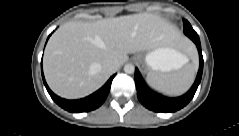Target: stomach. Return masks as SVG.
I'll list each match as a JSON object with an SVG mask.
<instances>
[{"mask_svg":"<svg viewBox=\"0 0 239 136\" xmlns=\"http://www.w3.org/2000/svg\"><path fill=\"white\" fill-rule=\"evenodd\" d=\"M136 58L141 59V56L137 55ZM144 59L149 69L169 72L179 69L186 62L187 57L178 50L165 45L149 50Z\"/></svg>","mask_w":239,"mask_h":136,"instance_id":"obj_1","label":"stomach"}]
</instances>
